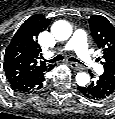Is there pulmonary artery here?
I'll return each instance as SVG.
<instances>
[{
	"mask_svg": "<svg viewBox=\"0 0 115 119\" xmlns=\"http://www.w3.org/2000/svg\"><path fill=\"white\" fill-rule=\"evenodd\" d=\"M63 50H74L76 55L86 66L94 68L98 71L100 70L99 64H97L94 56L89 51L87 35L84 30H76L69 41L65 44Z\"/></svg>",
	"mask_w": 115,
	"mask_h": 119,
	"instance_id": "1",
	"label": "pulmonary artery"
}]
</instances>
